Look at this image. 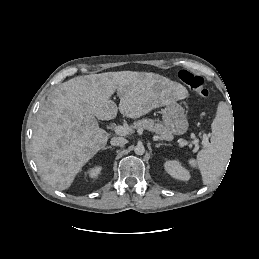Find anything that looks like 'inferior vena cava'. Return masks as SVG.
<instances>
[{
  "mask_svg": "<svg viewBox=\"0 0 259 259\" xmlns=\"http://www.w3.org/2000/svg\"><path fill=\"white\" fill-rule=\"evenodd\" d=\"M110 143L113 146H122L127 143V140L123 137H113L111 138Z\"/></svg>",
  "mask_w": 259,
  "mask_h": 259,
  "instance_id": "602c4592",
  "label": "inferior vena cava"
}]
</instances>
